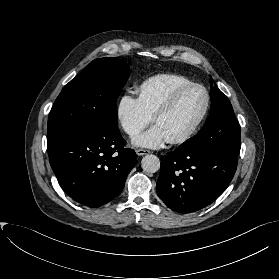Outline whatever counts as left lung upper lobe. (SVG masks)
Masks as SVG:
<instances>
[{
  "instance_id": "1",
  "label": "left lung upper lobe",
  "mask_w": 279,
  "mask_h": 279,
  "mask_svg": "<svg viewBox=\"0 0 279 279\" xmlns=\"http://www.w3.org/2000/svg\"><path fill=\"white\" fill-rule=\"evenodd\" d=\"M211 96L213 102L203 128L178 148L182 151L216 148L238 155L241 147L240 126L231 103L217 86L211 90Z\"/></svg>"
}]
</instances>
